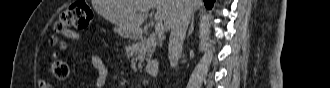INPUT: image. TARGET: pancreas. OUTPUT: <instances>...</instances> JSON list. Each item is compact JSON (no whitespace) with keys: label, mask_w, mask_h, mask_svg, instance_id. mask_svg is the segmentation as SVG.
Listing matches in <instances>:
<instances>
[{"label":"pancreas","mask_w":330,"mask_h":88,"mask_svg":"<svg viewBox=\"0 0 330 88\" xmlns=\"http://www.w3.org/2000/svg\"><path fill=\"white\" fill-rule=\"evenodd\" d=\"M158 43L157 38L150 35L147 39L133 45L131 47V52L135 54L134 60H140L142 63L145 57H149L153 54Z\"/></svg>","instance_id":"cf45deb5"}]
</instances>
